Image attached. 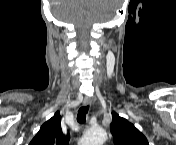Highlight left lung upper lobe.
Returning a JSON list of instances; mask_svg holds the SVG:
<instances>
[{"label":"left lung upper lobe","mask_w":176,"mask_h":145,"mask_svg":"<svg viewBox=\"0 0 176 145\" xmlns=\"http://www.w3.org/2000/svg\"><path fill=\"white\" fill-rule=\"evenodd\" d=\"M110 131L114 145H149L146 137L130 122L112 112Z\"/></svg>","instance_id":"obj_1"}]
</instances>
